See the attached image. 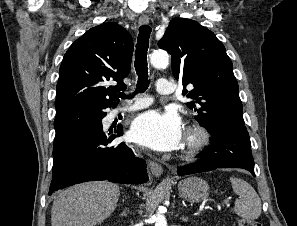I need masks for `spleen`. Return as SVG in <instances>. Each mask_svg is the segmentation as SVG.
I'll return each mask as SVG.
<instances>
[{"label":"spleen","mask_w":297,"mask_h":226,"mask_svg":"<svg viewBox=\"0 0 297 226\" xmlns=\"http://www.w3.org/2000/svg\"><path fill=\"white\" fill-rule=\"evenodd\" d=\"M233 191L239 196L235 202V213L247 220L257 219L261 214V199L254 188L243 179L230 178Z\"/></svg>","instance_id":"obj_1"}]
</instances>
